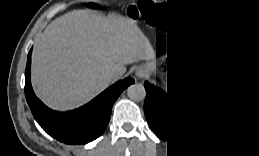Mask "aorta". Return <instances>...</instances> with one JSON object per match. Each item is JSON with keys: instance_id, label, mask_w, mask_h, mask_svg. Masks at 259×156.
Wrapping results in <instances>:
<instances>
[{"instance_id": "762f6f07", "label": "aorta", "mask_w": 259, "mask_h": 156, "mask_svg": "<svg viewBox=\"0 0 259 156\" xmlns=\"http://www.w3.org/2000/svg\"><path fill=\"white\" fill-rule=\"evenodd\" d=\"M128 96L134 101H141L145 98V89L141 84L131 85L127 89Z\"/></svg>"}]
</instances>
